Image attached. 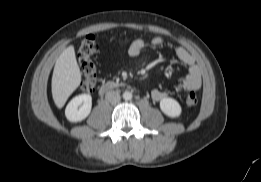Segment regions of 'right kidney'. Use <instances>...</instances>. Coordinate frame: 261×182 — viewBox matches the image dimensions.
<instances>
[{
  "label": "right kidney",
  "instance_id": "1",
  "mask_svg": "<svg viewBox=\"0 0 261 182\" xmlns=\"http://www.w3.org/2000/svg\"><path fill=\"white\" fill-rule=\"evenodd\" d=\"M92 97L89 94H81L74 97L65 109V116L70 122H80L91 112Z\"/></svg>",
  "mask_w": 261,
  "mask_h": 182
}]
</instances>
